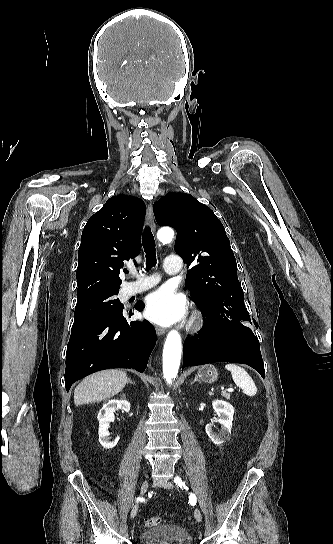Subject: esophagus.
Segmentation results:
<instances>
[{"label": "esophagus", "mask_w": 333, "mask_h": 544, "mask_svg": "<svg viewBox=\"0 0 333 544\" xmlns=\"http://www.w3.org/2000/svg\"><path fill=\"white\" fill-rule=\"evenodd\" d=\"M147 221L152 232H155L156 225H155V219H154V213H153V206L151 203H149L147 207ZM155 329H156L157 335L159 336L164 335L166 333V330L162 327L156 326Z\"/></svg>", "instance_id": "1"}]
</instances>
